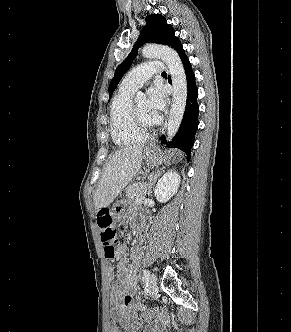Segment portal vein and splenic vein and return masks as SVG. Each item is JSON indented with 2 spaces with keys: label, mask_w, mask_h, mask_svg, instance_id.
Wrapping results in <instances>:
<instances>
[{
  "label": "portal vein and splenic vein",
  "mask_w": 291,
  "mask_h": 332,
  "mask_svg": "<svg viewBox=\"0 0 291 332\" xmlns=\"http://www.w3.org/2000/svg\"><path fill=\"white\" fill-rule=\"evenodd\" d=\"M142 200H143V198H139V199L136 200V203H139V202H141Z\"/></svg>",
  "instance_id": "obj_1"
}]
</instances>
